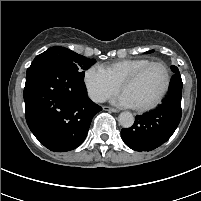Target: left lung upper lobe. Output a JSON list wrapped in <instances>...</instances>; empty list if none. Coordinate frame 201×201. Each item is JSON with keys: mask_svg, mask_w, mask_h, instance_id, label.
Segmentation results:
<instances>
[{"mask_svg": "<svg viewBox=\"0 0 201 201\" xmlns=\"http://www.w3.org/2000/svg\"><path fill=\"white\" fill-rule=\"evenodd\" d=\"M151 52H153V50H150V51H148V52H146V53H151ZM171 70H172L174 73H176L177 70H178V68H177L176 66H171Z\"/></svg>", "mask_w": 201, "mask_h": 201, "instance_id": "1", "label": "left lung upper lobe"}]
</instances>
